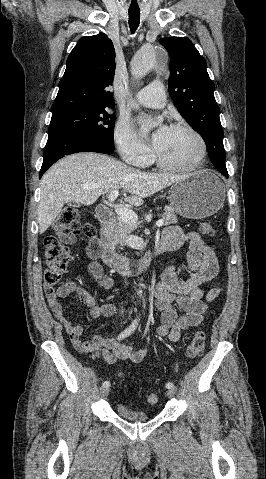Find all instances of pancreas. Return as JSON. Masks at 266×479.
<instances>
[{
  "label": "pancreas",
  "instance_id": "obj_1",
  "mask_svg": "<svg viewBox=\"0 0 266 479\" xmlns=\"http://www.w3.org/2000/svg\"><path fill=\"white\" fill-rule=\"evenodd\" d=\"M162 218L165 225L177 223L178 219L172 209H167ZM135 229V226L125 222L120 217L114 219L111 223V230L106 234V245L113 250L117 244L124 246L127 236Z\"/></svg>",
  "mask_w": 266,
  "mask_h": 479
}]
</instances>
